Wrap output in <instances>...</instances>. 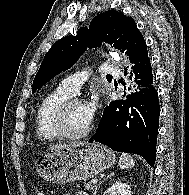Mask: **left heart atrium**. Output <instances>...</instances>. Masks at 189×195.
Listing matches in <instances>:
<instances>
[{"label":"left heart atrium","mask_w":189,"mask_h":195,"mask_svg":"<svg viewBox=\"0 0 189 195\" xmlns=\"http://www.w3.org/2000/svg\"><path fill=\"white\" fill-rule=\"evenodd\" d=\"M86 111L88 116L92 119L96 110H97V100L93 99L87 103H85Z\"/></svg>","instance_id":"39dd6f15"}]
</instances>
